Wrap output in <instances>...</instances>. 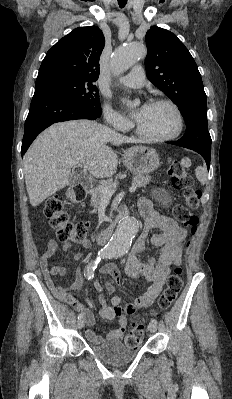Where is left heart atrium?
Here are the masks:
<instances>
[{
	"label": "left heart atrium",
	"instance_id": "39dd6f15",
	"mask_svg": "<svg viewBox=\"0 0 232 399\" xmlns=\"http://www.w3.org/2000/svg\"><path fill=\"white\" fill-rule=\"evenodd\" d=\"M144 109H145V106L142 107L139 111H137V112L134 114V118L137 119V118L140 116V114L142 113V111H143Z\"/></svg>",
	"mask_w": 232,
	"mask_h": 399
}]
</instances>
